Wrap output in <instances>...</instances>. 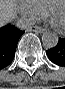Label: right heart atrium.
Segmentation results:
<instances>
[{"mask_svg": "<svg viewBox=\"0 0 65 89\" xmlns=\"http://www.w3.org/2000/svg\"><path fill=\"white\" fill-rule=\"evenodd\" d=\"M16 11L26 23H34L45 15V10L32 0L16 1Z\"/></svg>", "mask_w": 65, "mask_h": 89, "instance_id": "1", "label": "right heart atrium"}]
</instances>
